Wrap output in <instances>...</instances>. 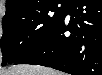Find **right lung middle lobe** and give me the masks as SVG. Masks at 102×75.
Wrapping results in <instances>:
<instances>
[{"label":"right lung middle lobe","mask_w":102,"mask_h":75,"mask_svg":"<svg viewBox=\"0 0 102 75\" xmlns=\"http://www.w3.org/2000/svg\"><path fill=\"white\" fill-rule=\"evenodd\" d=\"M61 4L58 7V4ZM69 0L43 3L35 8L5 14L2 20V66L15 63L37 47L64 19Z\"/></svg>","instance_id":"obj_1"}]
</instances>
